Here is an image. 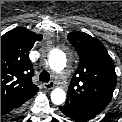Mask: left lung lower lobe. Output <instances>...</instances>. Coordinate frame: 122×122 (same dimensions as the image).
Returning a JSON list of instances; mask_svg holds the SVG:
<instances>
[{"instance_id":"0a47b994","label":"left lung lower lobe","mask_w":122,"mask_h":122,"mask_svg":"<svg viewBox=\"0 0 122 122\" xmlns=\"http://www.w3.org/2000/svg\"><path fill=\"white\" fill-rule=\"evenodd\" d=\"M59 109L67 117L82 122L88 121L97 115L86 108H82L80 106L68 102H65V104L59 107Z\"/></svg>"}]
</instances>
